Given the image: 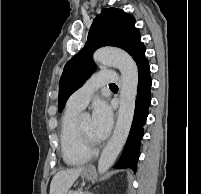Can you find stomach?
<instances>
[{
  "instance_id": "0dacf381",
  "label": "stomach",
  "mask_w": 201,
  "mask_h": 194,
  "mask_svg": "<svg viewBox=\"0 0 201 194\" xmlns=\"http://www.w3.org/2000/svg\"><path fill=\"white\" fill-rule=\"evenodd\" d=\"M94 175H95V168L91 165L85 167L82 172V176L87 179H91L92 177H94Z\"/></svg>"
}]
</instances>
